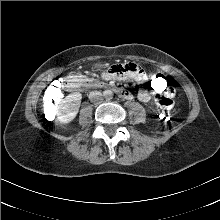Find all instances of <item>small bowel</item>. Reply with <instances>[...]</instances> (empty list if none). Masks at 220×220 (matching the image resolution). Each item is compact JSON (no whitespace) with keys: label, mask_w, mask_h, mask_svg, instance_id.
Returning <instances> with one entry per match:
<instances>
[{"label":"small bowel","mask_w":220,"mask_h":220,"mask_svg":"<svg viewBox=\"0 0 220 220\" xmlns=\"http://www.w3.org/2000/svg\"><path fill=\"white\" fill-rule=\"evenodd\" d=\"M101 78L104 81L132 79L138 83L148 84L150 77L146 75V73L141 69L140 65H138L136 62H124L109 66L107 69L102 71ZM153 93L155 94V96L162 95L169 98H173L175 96V90L169 85L168 81L166 89L163 92ZM126 99H132V95L129 92ZM138 99L142 102H148L151 99V94L149 90H140L138 93Z\"/></svg>","instance_id":"small-bowel-1"}]
</instances>
